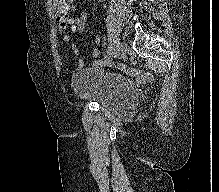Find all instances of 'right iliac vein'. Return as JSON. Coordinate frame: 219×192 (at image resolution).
<instances>
[{
  "instance_id": "right-iliac-vein-1",
  "label": "right iliac vein",
  "mask_w": 219,
  "mask_h": 192,
  "mask_svg": "<svg viewBox=\"0 0 219 192\" xmlns=\"http://www.w3.org/2000/svg\"><path fill=\"white\" fill-rule=\"evenodd\" d=\"M122 51V44L119 41H116L115 46L113 47V52L111 57L108 59L111 61L113 58H118Z\"/></svg>"
}]
</instances>
